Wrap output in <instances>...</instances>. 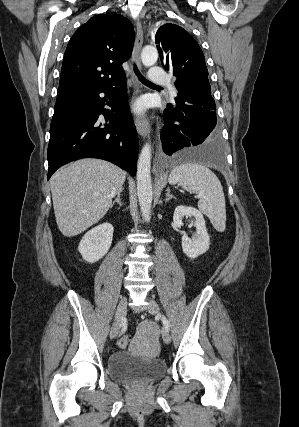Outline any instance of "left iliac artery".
<instances>
[{"instance_id":"44dca946","label":"left iliac artery","mask_w":299,"mask_h":427,"mask_svg":"<svg viewBox=\"0 0 299 427\" xmlns=\"http://www.w3.org/2000/svg\"><path fill=\"white\" fill-rule=\"evenodd\" d=\"M162 321H163V324H164L165 328L167 330H169L170 329V324H169V321L167 320V318L165 316L162 317Z\"/></svg>"}]
</instances>
